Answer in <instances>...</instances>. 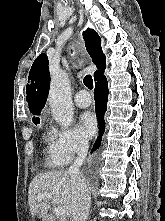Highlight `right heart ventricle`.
Masks as SVG:
<instances>
[{
  "mask_svg": "<svg viewBox=\"0 0 165 221\" xmlns=\"http://www.w3.org/2000/svg\"><path fill=\"white\" fill-rule=\"evenodd\" d=\"M49 141H50V136H48V142H49ZM47 162H48V164H49L50 166H52V167H60V166H63V165L66 164V162L61 161V160L55 158V157L51 154L50 150H49V152H48V154H47Z\"/></svg>",
  "mask_w": 165,
  "mask_h": 221,
  "instance_id": "e07e8e85",
  "label": "right heart ventricle"
}]
</instances>
